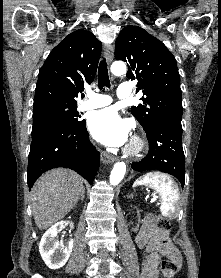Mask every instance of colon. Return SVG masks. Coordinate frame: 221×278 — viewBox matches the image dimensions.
I'll list each match as a JSON object with an SVG mask.
<instances>
[{"label":"colon","instance_id":"colon-1","mask_svg":"<svg viewBox=\"0 0 221 278\" xmlns=\"http://www.w3.org/2000/svg\"><path fill=\"white\" fill-rule=\"evenodd\" d=\"M154 224L161 231L167 232L170 229L169 220L160 215L155 216ZM177 268H178L177 263L170 258L163 259L160 263V270L162 274L166 277L173 276L177 271Z\"/></svg>","mask_w":221,"mask_h":278}]
</instances>
